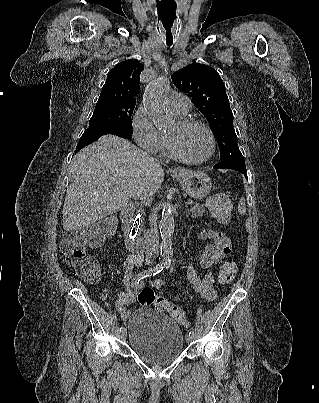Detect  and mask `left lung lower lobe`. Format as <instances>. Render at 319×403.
I'll use <instances>...</instances> for the list:
<instances>
[{
    "label": "left lung lower lobe",
    "instance_id": "1",
    "mask_svg": "<svg viewBox=\"0 0 319 403\" xmlns=\"http://www.w3.org/2000/svg\"><path fill=\"white\" fill-rule=\"evenodd\" d=\"M214 168H226L236 170L240 173H243L245 177H247L246 166L245 163L242 162H234V161H221L214 165Z\"/></svg>",
    "mask_w": 319,
    "mask_h": 403
}]
</instances>
